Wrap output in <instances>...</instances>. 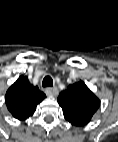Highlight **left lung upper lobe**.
<instances>
[{"mask_svg":"<svg viewBox=\"0 0 118 142\" xmlns=\"http://www.w3.org/2000/svg\"><path fill=\"white\" fill-rule=\"evenodd\" d=\"M57 101L65 119L75 126L89 123L100 106V100L83 81L69 85L59 94Z\"/></svg>","mask_w":118,"mask_h":142,"instance_id":"obj_1","label":"left lung upper lobe"}]
</instances>
